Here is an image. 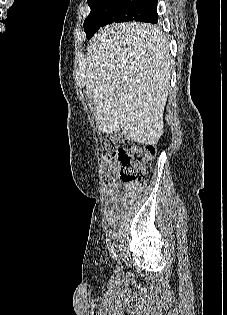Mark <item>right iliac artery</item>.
<instances>
[{
    "label": "right iliac artery",
    "mask_w": 227,
    "mask_h": 315,
    "mask_svg": "<svg viewBox=\"0 0 227 315\" xmlns=\"http://www.w3.org/2000/svg\"><path fill=\"white\" fill-rule=\"evenodd\" d=\"M112 237H113V239H117L118 234L117 233H113Z\"/></svg>",
    "instance_id": "right-iliac-artery-1"
}]
</instances>
